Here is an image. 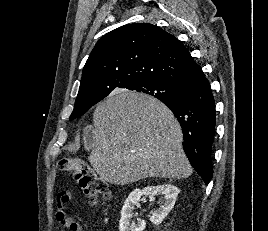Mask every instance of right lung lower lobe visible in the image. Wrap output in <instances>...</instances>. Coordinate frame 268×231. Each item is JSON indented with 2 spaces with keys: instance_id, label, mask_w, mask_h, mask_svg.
Wrapping results in <instances>:
<instances>
[{
  "instance_id": "1",
  "label": "right lung lower lobe",
  "mask_w": 268,
  "mask_h": 231,
  "mask_svg": "<svg viewBox=\"0 0 268 231\" xmlns=\"http://www.w3.org/2000/svg\"><path fill=\"white\" fill-rule=\"evenodd\" d=\"M177 89L175 97L161 101L178 119L183 131L184 151L191 165L208 184L213 170L212 145L216 124L212 90L205 75Z\"/></svg>"
}]
</instances>
